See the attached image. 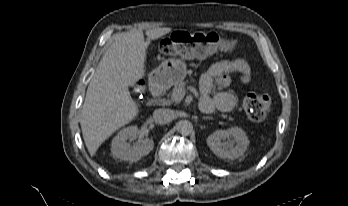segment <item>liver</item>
Listing matches in <instances>:
<instances>
[{
  "instance_id": "obj_1",
  "label": "liver",
  "mask_w": 348,
  "mask_h": 206,
  "mask_svg": "<svg viewBox=\"0 0 348 206\" xmlns=\"http://www.w3.org/2000/svg\"><path fill=\"white\" fill-rule=\"evenodd\" d=\"M171 31L169 27L119 33L106 50L89 83L80 125L85 145L94 156L100 145L139 113L129 86L145 76L146 49Z\"/></svg>"
}]
</instances>
